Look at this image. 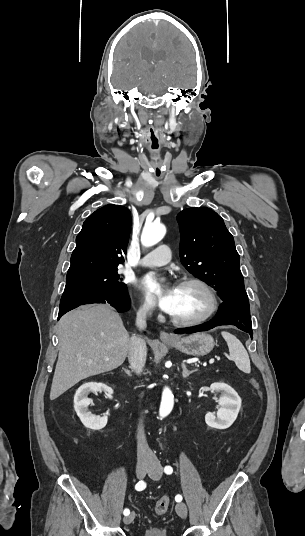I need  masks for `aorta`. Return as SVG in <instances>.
<instances>
[{
	"label": "aorta",
	"instance_id": "obj_1",
	"mask_svg": "<svg viewBox=\"0 0 305 536\" xmlns=\"http://www.w3.org/2000/svg\"><path fill=\"white\" fill-rule=\"evenodd\" d=\"M166 234V228L162 224L146 225L142 231L141 243L145 247H151L157 244ZM174 405V395L170 388L165 387L162 392V399L159 409L160 418L170 414Z\"/></svg>",
	"mask_w": 305,
	"mask_h": 536
}]
</instances>
